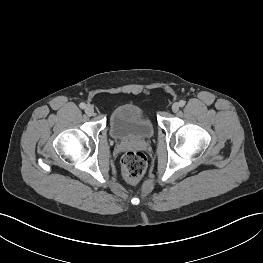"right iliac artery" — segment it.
Segmentation results:
<instances>
[{
  "label": "right iliac artery",
  "instance_id": "obj_1",
  "mask_svg": "<svg viewBox=\"0 0 263 263\" xmlns=\"http://www.w3.org/2000/svg\"><path fill=\"white\" fill-rule=\"evenodd\" d=\"M79 107H80L81 109H84V108L86 107V104H85V103H80Z\"/></svg>",
  "mask_w": 263,
  "mask_h": 263
}]
</instances>
